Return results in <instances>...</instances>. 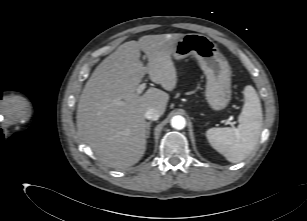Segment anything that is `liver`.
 Here are the masks:
<instances>
[{"label": "liver", "instance_id": "1", "mask_svg": "<svg viewBox=\"0 0 307 221\" xmlns=\"http://www.w3.org/2000/svg\"><path fill=\"white\" fill-rule=\"evenodd\" d=\"M183 35H146L125 42L97 66L86 82L78 101L77 134L106 166L125 169L144 155L145 112L154 108L163 115L169 94L150 87L138 95L137 88L146 73L166 91L176 87L172 51ZM140 51L148 58L147 66L140 61Z\"/></svg>", "mask_w": 307, "mask_h": 221}]
</instances>
